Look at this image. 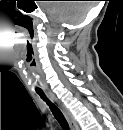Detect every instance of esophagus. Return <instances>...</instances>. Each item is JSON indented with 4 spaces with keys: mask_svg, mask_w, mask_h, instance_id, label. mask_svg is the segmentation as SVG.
Instances as JSON below:
<instances>
[{
    "mask_svg": "<svg viewBox=\"0 0 123 130\" xmlns=\"http://www.w3.org/2000/svg\"><path fill=\"white\" fill-rule=\"evenodd\" d=\"M53 98L57 102V104L59 105L60 109L62 110L64 116L66 117L67 121L69 122L71 129L72 130H79V126H78L76 120L74 119L71 112L67 109V107L57 98H55V97H53Z\"/></svg>",
    "mask_w": 123,
    "mask_h": 130,
    "instance_id": "esophagus-1",
    "label": "esophagus"
}]
</instances>
